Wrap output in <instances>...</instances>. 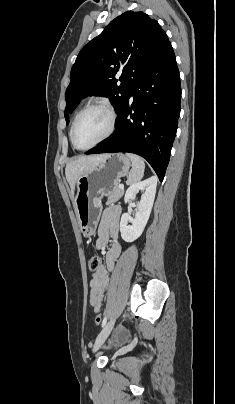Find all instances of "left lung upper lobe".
<instances>
[{"instance_id": "5c2ea615", "label": "left lung upper lobe", "mask_w": 235, "mask_h": 404, "mask_svg": "<svg viewBox=\"0 0 235 404\" xmlns=\"http://www.w3.org/2000/svg\"><path fill=\"white\" fill-rule=\"evenodd\" d=\"M169 43L158 22L143 12L116 17L77 56L65 95L66 123L68 114L88 95L108 97L118 113L139 75Z\"/></svg>"}]
</instances>
